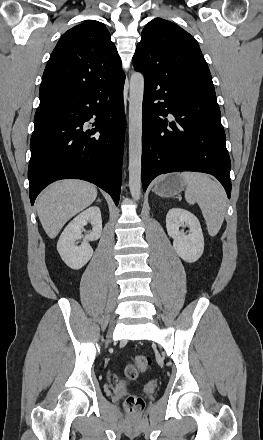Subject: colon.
Wrapping results in <instances>:
<instances>
[{"instance_id": "5ec220e1", "label": "colon", "mask_w": 263, "mask_h": 440, "mask_svg": "<svg viewBox=\"0 0 263 440\" xmlns=\"http://www.w3.org/2000/svg\"><path fill=\"white\" fill-rule=\"evenodd\" d=\"M152 359L148 355H136L124 369L125 376L128 379L134 380L140 374L145 373L150 369ZM145 403L142 397L137 395H130L124 401V408L131 414H138L144 409Z\"/></svg>"}]
</instances>
